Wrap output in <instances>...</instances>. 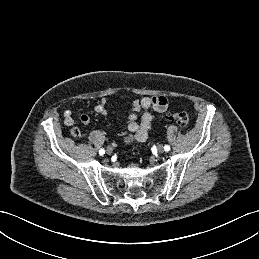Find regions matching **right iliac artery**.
Wrapping results in <instances>:
<instances>
[{"instance_id":"obj_1","label":"right iliac artery","mask_w":259,"mask_h":259,"mask_svg":"<svg viewBox=\"0 0 259 259\" xmlns=\"http://www.w3.org/2000/svg\"><path fill=\"white\" fill-rule=\"evenodd\" d=\"M104 153H105V150H104V149H100V150H99V154H100V155H102V154H104Z\"/></svg>"}]
</instances>
